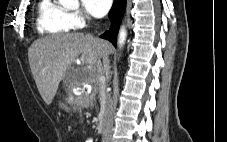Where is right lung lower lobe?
<instances>
[{
  "instance_id": "right-lung-lower-lobe-1",
  "label": "right lung lower lobe",
  "mask_w": 227,
  "mask_h": 142,
  "mask_svg": "<svg viewBox=\"0 0 227 142\" xmlns=\"http://www.w3.org/2000/svg\"><path fill=\"white\" fill-rule=\"evenodd\" d=\"M126 0H114L112 9L109 12V18L111 20V27L106 31L102 38H105L113 43L116 47L117 34L119 26L121 24L122 17L124 15Z\"/></svg>"
}]
</instances>
